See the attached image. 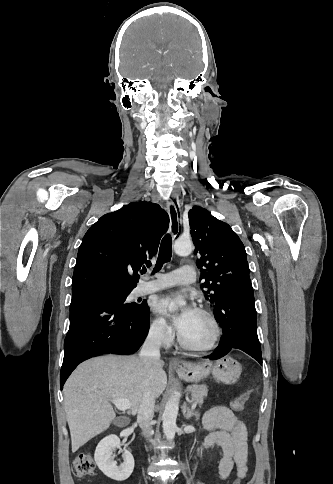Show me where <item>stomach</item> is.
<instances>
[{
    "instance_id": "1",
    "label": "stomach",
    "mask_w": 333,
    "mask_h": 484,
    "mask_svg": "<svg viewBox=\"0 0 333 484\" xmlns=\"http://www.w3.org/2000/svg\"><path fill=\"white\" fill-rule=\"evenodd\" d=\"M174 369L179 377L187 382L198 383L212 376L216 381L227 385L235 383L242 372L240 363L230 356H224L214 361L185 362Z\"/></svg>"
}]
</instances>
